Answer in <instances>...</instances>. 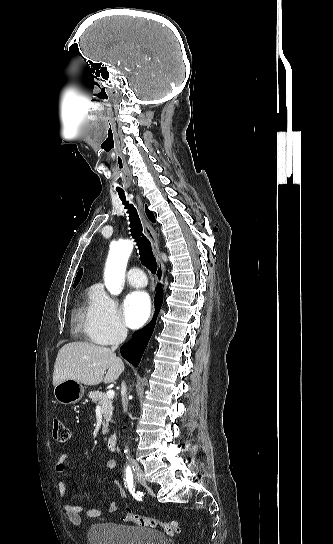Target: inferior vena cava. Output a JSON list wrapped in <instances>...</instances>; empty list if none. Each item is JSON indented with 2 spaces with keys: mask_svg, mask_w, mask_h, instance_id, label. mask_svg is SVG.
<instances>
[{
  "mask_svg": "<svg viewBox=\"0 0 333 544\" xmlns=\"http://www.w3.org/2000/svg\"><path fill=\"white\" fill-rule=\"evenodd\" d=\"M126 337H127V329L124 327L119 328V330L117 331L115 335L113 345L111 347L112 351H115L118 348V345L122 343L126 339ZM121 397H122L123 410L124 412H127L128 399L126 394V385L124 382H122L121 384ZM130 463L132 467H135V468L139 467L137 462L133 458L130 459Z\"/></svg>",
  "mask_w": 333,
  "mask_h": 544,
  "instance_id": "inferior-vena-cava-1",
  "label": "inferior vena cava"
}]
</instances>
